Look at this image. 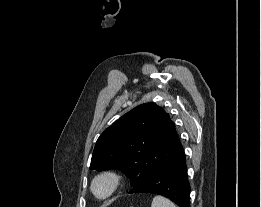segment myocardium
I'll return each instance as SVG.
<instances>
[{
	"mask_svg": "<svg viewBox=\"0 0 261 207\" xmlns=\"http://www.w3.org/2000/svg\"><path fill=\"white\" fill-rule=\"evenodd\" d=\"M104 183L106 185V191L103 194L96 192V185L98 183ZM121 182V177L118 173L106 170L97 174L91 181L90 191L92 195L98 200H105L112 196L118 189Z\"/></svg>",
	"mask_w": 261,
	"mask_h": 207,
	"instance_id": "obj_1",
	"label": "myocardium"
}]
</instances>
